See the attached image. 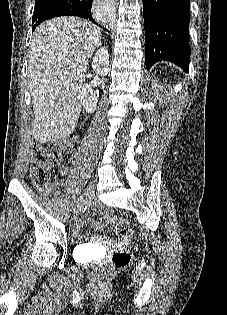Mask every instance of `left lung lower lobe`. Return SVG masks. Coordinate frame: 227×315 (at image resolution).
<instances>
[{"mask_svg":"<svg viewBox=\"0 0 227 315\" xmlns=\"http://www.w3.org/2000/svg\"><path fill=\"white\" fill-rule=\"evenodd\" d=\"M190 0H143L146 67L170 61L189 68Z\"/></svg>","mask_w":227,"mask_h":315,"instance_id":"1","label":"left lung lower lobe"}]
</instances>
